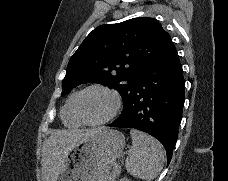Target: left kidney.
<instances>
[{"label":"left kidney","mask_w":228,"mask_h":181,"mask_svg":"<svg viewBox=\"0 0 228 181\" xmlns=\"http://www.w3.org/2000/svg\"><path fill=\"white\" fill-rule=\"evenodd\" d=\"M121 181H128V179H126V177H124V179H121Z\"/></svg>","instance_id":"5707ae66"}]
</instances>
